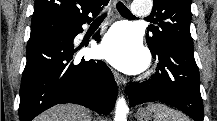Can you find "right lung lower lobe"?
Listing matches in <instances>:
<instances>
[{
  "label": "right lung lower lobe",
  "instance_id": "98d812e1",
  "mask_svg": "<svg viewBox=\"0 0 217 121\" xmlns=\"http://www.w3.org/2000/svg\"><path fill=\"white\" fill-rule=\"evenodd\" d=\"M91 20L29 39L20 87V121H31L59 103L80 104L101 114L113 109L118 92L111 70L100 60H75L79 48H74L73 40ZM94 38L100 41L98 32Z\"/></svg>",
  "mask_w": 217,
  "mask_h": 121
}]
</instances>
